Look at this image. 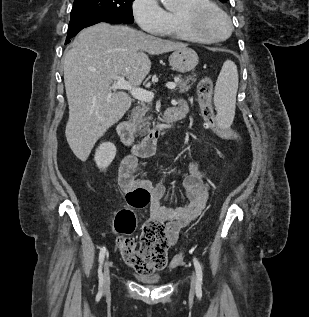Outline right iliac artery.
I'll return each instance as SVG.
<instances>
[{
    "mask_svg": "<svg viewBox=\"0 0 309 317\" xmlns=\"http://www.w3.org/2000/svg\"><path fill=\"white\" fill-rule=\"evenodd\" d=\"M105 255H106V247L104 246L101 248L99 253V269H98L99 287L103 286L102 266H103Z\"/></svg>",
    "mask_w": 309,
    "mask_h": 317,
    "instance_id": "obj_1",
    "label": "right iliac artery"
}]
</instances>
